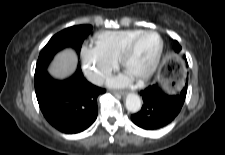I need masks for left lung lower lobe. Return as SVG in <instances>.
<instances>
[{"label":"left lung lower lobe","instance_id":"left-lung-lower-lobe-1","mask_svg":"<svg viewBox=\"0 0 225 155\" xmlns=\"http://www.w3.org/2000/svg\"><path fill=\"white\" fill-rule=\"evenodd\" d=\"M187 93V83L179 92L168 95L157 85L142 90L143 98L141 110L131 116L132 121L146 130H155L172 122L179 114Z\"/></svg>","mask_w":225,"mask_h":155}]
</instances>
